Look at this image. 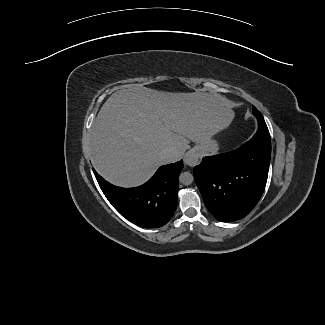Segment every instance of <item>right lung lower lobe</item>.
I'll return each instance as SVG.
<instances>
[{"label": "right lung lower lobe", "instance_id": "right-lung-lower-lobe-1", "mask_svg": "<svg viewBox=\"0 0 325 325\" xmlns=\"http://www.w3.org/2000/svg\"><path fill=\"white\" fill-rule=\"evenodd\" d=\"M183 161L161 166L144 185L121 188L105 181L94 170L101 190L112 206L126 219L144 228L165 225L177 207L178 177Z\"/></svg>", "mask_w": 325, "mask_h": 325}]
</instances>
